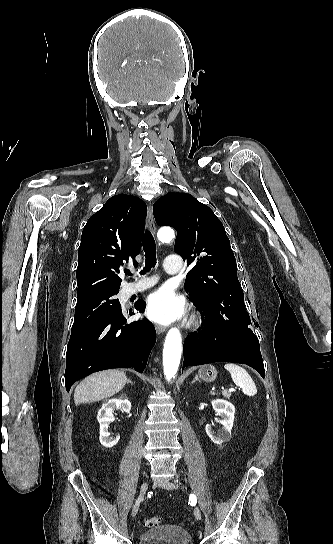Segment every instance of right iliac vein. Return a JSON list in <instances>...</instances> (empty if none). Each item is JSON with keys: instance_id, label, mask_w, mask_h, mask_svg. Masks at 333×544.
<instances>
[{"instance_id": "right-iliac-vein-1", "label": "right iliac vein", "mask_w": 333, "mask_h": 544, "mask_svg": "<svg viewBox=\"0 0 333 544\" xmlns=\"http://www.w3.org/2000/svg\"><path fill=\"white\" fill-rule=\"evenodd\" d=\"M147 489H148V483L144 482L141 485V488H140V499L145 495ZM139 506H140V500L136 501L135 504L132 507V511H131V516L132 517L136 516V514L138 512V509H139Z\"/></svg>"}]
</instances>
